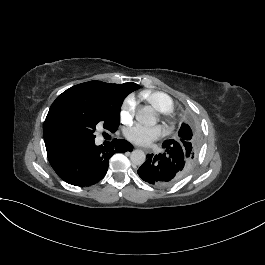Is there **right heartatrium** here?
Returning <instances> with one entry per match:
<instances>
[{"mask_svg": "<svg viewBox=\"0 0 265 265\" xmlns=\"http://www.w3.org/2000/svg\"><path fill=\"white\" fill-rule=\"evenodd\" d=\"M138 108V101L135 96H128L122 106L121 117L124 121L132 119Z\"/></svg>", "mask_w": 265, "mask_h": 265, "instance_id": "1", "label": "right heart atrium"}]
</instances>
